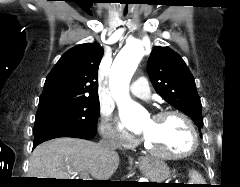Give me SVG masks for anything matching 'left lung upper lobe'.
<instances>
[{"label": "left lung upper lobe", "mask_w": 240, "mask_h": 187, "mask_svg": "<svg viewBox=\"0 0 240 187\" xmlns=\"http://www.w3.org/2000/svg\"><path fill=\"white\" fill-rule=\"evenodd\" d=\"M147 72L156 92L202 127V108L193 75L183 59L168 47H155Z\"/></svg>", "instance_id": "left-lung-upper-lobe-1"}]
</instances>
